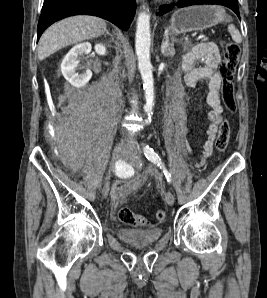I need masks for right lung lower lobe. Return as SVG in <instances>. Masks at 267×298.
<instances>
[{
    "mask_svg": "<svg viewBox=\"0 0 267 298\" xmlns=\"http://www.w3.org/2000/svg\"><path fill=\"white\" fill-rule=\"evenodd\" d=\"M135 10V0H44L37 40L55 21L73 15L98 16L114 23L122 30H127Z\"/></svg>",
    "mask_w": 267,
    "mask_h": 298,
    "instance_id": "1",
    "label": "right lung lower lobe"
}]
</instances>
